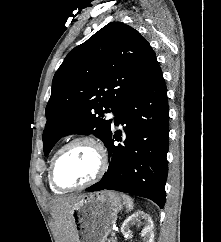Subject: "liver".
Instances as JSON below:
<instances>
[{
  "mask_svg": "<svg viewBox=\"0 0 221 242\" xmlns=\"http://www.w3.org/2000/svg\"><path fill=\"white\" fill-rule=\"evenodd\" d=\"M83 196L57 198L52 201L51 209L55 220L59 242H74L75 228L71 216V207Z\"/></svg>",
  "mask_w": 221,
  "mask_h": 242,
  "instance_id": "6515ba94",
  "label": "liver"
}]
</instances>
